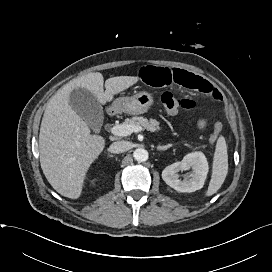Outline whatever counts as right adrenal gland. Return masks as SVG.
I'll return each mask as SVG.
<instances>
[{
	"mask_svg": "<svg viewBox=\"0 0 272 272\" xmlns=\"http://www.w3.org/2000/svg\"><path fill=\"white\" fill-rule=\"evenodd\" d=\"M108 156H109V157H114L112 154H110V152H108Z\"/></svg>",
	"mask_w": 272,
	"mask_h": 272,
	"instance_id": "obj_1",
	"label": "right adrenal gland"
}]
</instances>
